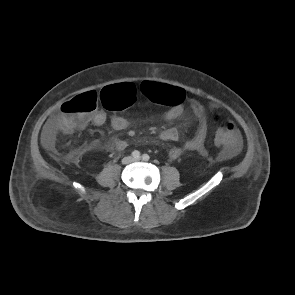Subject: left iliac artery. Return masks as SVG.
I'll return each instance as SVG.
<instances>
[{
    "label": "left iliac artery",
    "mask_w": 295,
    "mask_h": 295,
    "mask_svg": "<svg viewBox=\"0 0 295 295\" xmlns=\"http://www.w3.org/2000/svg\"><path fill=\"white\" fill-rule=\"evenodd\" d=\"M142 159H143L144 161H148V160L150 159V156H149L148 154H143V155H142Z\"/></svg>",
    "instance_id": "1"
}]
</instances>
